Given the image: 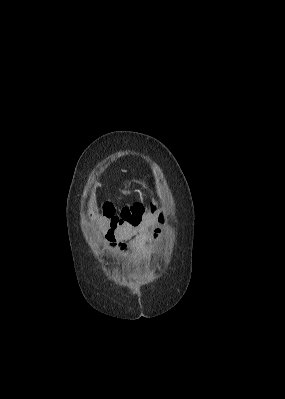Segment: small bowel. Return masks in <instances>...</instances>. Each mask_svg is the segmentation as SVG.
<instances>
[{"mask_svg":"<svg viewBox=\"0 0 285 399\" xmlns=\"http://www.w3.org/2000/svg\"><path fill=\"white\" fill-rule=\"evenodd\" d=\"M146 211V212H145ZM147 213L150 219L156 218V212L154 210L147 211V208L143 207L142 205H138L134 208H126L122 211V216L125 219L124 224L122 226H118L114 229V233L117 236H129L131 234L132 228L134 223L131 221V218L134 216L139 217L140 215H145ZM128 221V222H126ZM159 232L154 233V239H157ZM143 238H146L145 236Z\"/></svg>","mask_w":285,"mask_h":399,"instance_id":"c3829d8e","label":"small bowel"}]
</instances>
